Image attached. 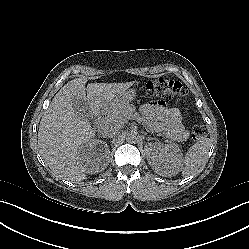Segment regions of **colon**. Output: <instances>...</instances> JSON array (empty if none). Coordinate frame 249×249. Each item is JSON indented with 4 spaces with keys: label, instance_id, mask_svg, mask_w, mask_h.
<instances>
[{
    "label": "colon",
    "instance_id": "colon-1",
    "mask_svg": "<svg viewBox=\"0 0 249 249\" xmlns=\"http://www.w3.org/2000/svg\"><path fill=\"white\" fill-rule=\"evenodd\" d=\"M145 87L152 93L167 97L176 102H183L186 99H189L187 88L178 81L158 78L154 81H148L145 84ZM205 133L206 130L202 126L197 125L192 130V137L194 139H199L203 137Z\"/></svg>",
    "mask_w": 249,
    "mask_h": 249
}]
</instances>
